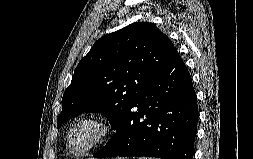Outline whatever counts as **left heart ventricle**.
<instances>
[{"label": "left heart ventricle", "mask_w": 253, "mask_h": 159, "mask_svg": "<svg viewBox=\"0 0 253 159\" xmlns=\"http://www.w3.org/2000/svg\"><path fill=\"white\" fill-rule=\"evenodd\" d=\"M99 127L97 124L88 122L82 124L74 134L73 146L76 149L86 147L97 135Z\"/></svg>", "instance_id": "1"}]
</instances>
